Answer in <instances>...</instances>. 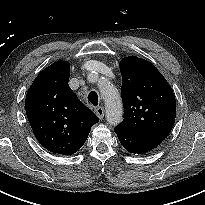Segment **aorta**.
<instances>
[{"mask_svg":"<svg viewBox=\"0 0 205 205\" xmlns=\"http://www.w3.org/2000/svg\"><path fill=\"white\" fill-rule=\"evenodd\" d=\"M105 99L106 119L110 125H118L123 119V107L120 95L110 84L101 88Z\"/></svg>","mask_w":205,"mask_h":205,"instance_id":"762f6f07","label":"aorta"}]
</instances>
